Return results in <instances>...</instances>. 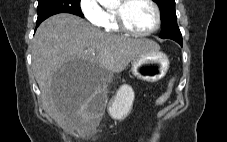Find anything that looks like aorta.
I'll return each instance as SVG.
<instances>
[{
	"label": "aorta",
	"mask_w": 227,
	"mask_h": 142,
	"mask_svg": "<svg viewBox=\"0 0 227 142\" xmlns=\"http://www.w3.org/2000/svg\"><path fill=\"white\" fill-rule=\"evenodd\" d=\"M103 5H110L116 3L118 0H100Z\"/></svg>",
	"instance_id": "obj_1"
}]
</instances>
